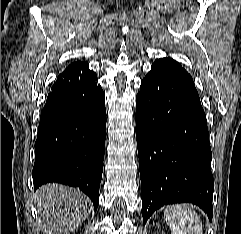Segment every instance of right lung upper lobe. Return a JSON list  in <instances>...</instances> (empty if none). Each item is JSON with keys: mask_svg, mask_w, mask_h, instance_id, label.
I'll return each mask as SVG.
<instances>
[{"mask_svg": "<svg viewBox=\"0 0 241 234\" xmlns=\"http://www.w3.org/2000/svg\"><path fill=\"white\" fill-rule=\"evenodd\" d=\"M84 63H86V62H79V61L74 62V63L70 64V65L65 69L64 72L69 71V70H71V69H74V68H76V67H78V66H80V65H82V64H84Z\"/></svg>", "mask_w": 241, "mask_h": 234, "instance_id": "cb5924a9", "label": "right lung upper lobe"}]
</instances>
